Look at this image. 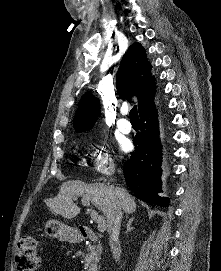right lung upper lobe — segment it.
<instances>
[{
    "mask_svg": "<svg viewBox=\"0 0 221 271\" xmlns=\"http://www.w3.org/2000/svg\"><path fill=\"white\" fill-rule=\"evenodd\" d=\"M151 65L145 49L139 43L132 44L123 56L116 77V87L120 97L135 95L138 98L139 114L154 108V77L150 75ZM100 114L99 100L86 93L80 100L74 117L77 132L91 129Z\"/></svg>",
    "mask_w": 221,
    "mask_h": 271,
    "instance_id": "obj_1",
    "label": "right lung upper lobe"
}]
</instances>
